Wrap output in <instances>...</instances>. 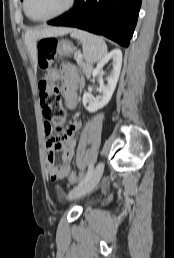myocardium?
Here are the masks:
<instances>
[{"instance_id":"f54148a6","label":"myocardium","mask_w":174,"mask_h":258,"mask_svg":"<svg viewBox=\"0 0 174 258\" xmlns=\"http://www.w3.org/2000/svg\"><path fill=\"white\" fill-rule=\"evenodd\" d=\"M28 1L29 0H24V5H23L24 12L28 16L29 19H31L32 21H35V22H46V21L55 19V18H57L59 16H62L65 13H67L73 7V5L75 3V0H68L66 6L63 9H61L60 11H58L57 13L52 14V15L47 16V17H43V18H33L29 14V11H28Z\"/></svg>"}]
</instances>
